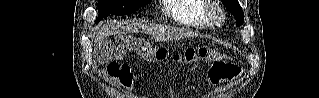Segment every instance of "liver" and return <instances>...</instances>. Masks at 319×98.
<instances>
[{
    "mask_svg": "<svg viewBox=\"0 0 319 98\" xmlns=\"http://www.w3.org/2000/svg\"><path fill=\"white\" fill-rule=\"evenodd\" d=\"M131 32H144L146 34H150L155 38V40L159 42L179 40V39L189 38L194 36V33L190 31H187L181 28L172 27V26L155 25V24L147 25V24H143L139 22H134V23L127 24L126 26H122L121 24L110 22V24L105 25L98 30L95 37L96 48L100 47V44L109 36H112L115 34L131 33Z\"/></svg>",
    "mask_w": 319,
    "mask_h": 98,
    "instance_id": "liver-1",
    "label": "liver"
}]
</instances>
